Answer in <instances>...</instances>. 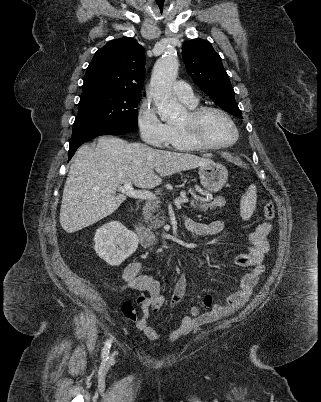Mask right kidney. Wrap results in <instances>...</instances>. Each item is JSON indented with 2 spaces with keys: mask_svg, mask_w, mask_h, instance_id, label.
<instances>
[{
  "mask_svg": "<svg viewBox=\"0 0 321 402\" xmlns=\"http://www.w3.org/2000/svg\"><path fill=\"white\" fill-rule=\"evenodd\" d=\"M94 241L97 255L110 266H119L138 247L136 234L119 221L101 226L95 233Z\"/></svg>",
  "mask_w": 321,
  "mask_h": 402,
  "instance_id": "obj_1",
  "label": "right kidney"
}]
</instances>
